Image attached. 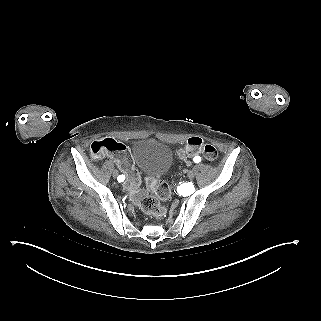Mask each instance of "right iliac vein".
I'll return each mask as SVG.
<instances>
[{"label":"right iliac vein","mask_w":321,"mask_h":321,"mask_svg":"<svg viewBox=\"0 0 321 321\" xmlns=\"http://www.w3.org/2000/svg\"><path fill=\"white\" fill-rule=\"evenodd\" d=\"M112 176H113V178H118V172L116 170H114L112 172Z\"/></svg>","instance_id":"right-iliac-vein-1"}]
</instances>
